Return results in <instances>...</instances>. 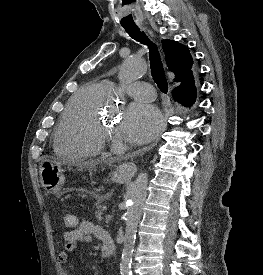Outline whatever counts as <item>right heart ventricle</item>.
I'll return each instance as SVG.
<instances>
[{
	"label": "right heart ventricle",
	"mask_w": 263,
	"mask_h": 275,
	"mask_svg": "<svg viewBox=\"0 0 263 275\" xmlns=\"http://www.w3.org/2000/svg\"><path fill=\"white\" fill-rule=\"evenodd\" d=\"M109 90L103 83H89L68 101L54 136L57 153L71 159L98 155L103 146L90 135Z\"/></svg>",
	"instance_id": "obj_1"
}]
</instances>
